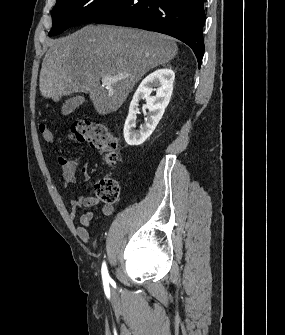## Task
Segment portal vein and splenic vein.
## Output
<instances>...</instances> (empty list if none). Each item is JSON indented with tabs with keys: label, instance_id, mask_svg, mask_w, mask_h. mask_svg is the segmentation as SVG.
Here are the masks:
<instances>
[{
	"label": "portal vein and splenic vein",
	"instance_id": "1",
	"mask_svg": "<svg viewBox=\"0 0 285 335\" xmlns=\"http://www.w3.org/2000/svg\"><path fill=\"white\" fill-rule=\"evenodd\" d=\"M123 78H128V74H117V76H103L101 82L102 84H112V82H117V80H123Z\"/></svg>",
	"mask_w": 285,
	"mask_h": 335
}]
</instances>
